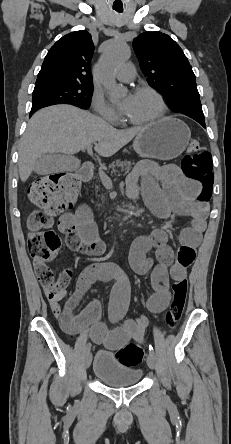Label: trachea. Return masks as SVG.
I'll return each mask as SVG.
<instances>
[{
	"mask_svg": "<svg viewBox=\"0 0 231 444\" xmlns=\"http://www.w3.org/2000/svg\"><path fill=\"white\" fill-rule=\"evenodd\" d=\"M118 13H121L122 12V10H116Z\"/></svg>",
	"mask_w": 231,
	"mask_h": 444,
	"instance_id": "3493384b",
	"label": "trachea"
}]
</instances>
